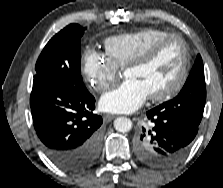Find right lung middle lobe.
<instances>
[{
  "label": "right lung middle lobe",
  "mask_w": 223,
  "mask_h": 188,
  "mask_svg": "<svg viewBox=\"0 0 223 188\" xmlns=\"http://www.w3.org/2000/svg\"><path fill=\"white\" fill-rule=\"evenodd\" d=\"M86 28L70 24L58 32L42 50L34 81L65 86L77 93H86L81 76V37Z\"/></svg>",
  "instance_id": "obj_1"
}]
</instances>
